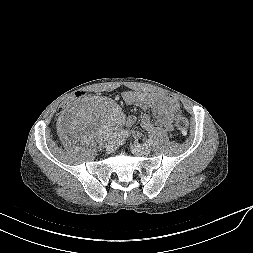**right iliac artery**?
Here are the masks:
<instances>
[{
  "label": "right iliac artery",
  "mask_w": 253,
  "mask_h": 253,
  "mask_svg": "<svg viewBox=\"0 0 253 253\" xmlns=\"http://www.w3.org/2000/svg\"><path fill=\"white\" fill-rule=\"evenodd\" d=\"M129 136V132L126 131V130H122L120 133H119V137H127Z\"/></svg>",
  "instance_id": "right-iliac-artery-1"
}]
</instances>
